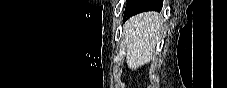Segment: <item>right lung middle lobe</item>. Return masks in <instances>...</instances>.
Listing matches in <instances>:
<instances>
[{
    "mask_svg": "<svg viewBox=\"0 0 227 88\" xmlns=\"http://www.w3.org/2000/svg\"><path fill=\"white\" fill-rule=\"evenodd\" d=\"M133 0H127L126 7L132 2Z\"/></svg>",
    "mask_w": 227,
    "mask_h": 88,
    "instance_id": "right-lung-middle-lobe-1",
    "label": "right lung middle lobe"
}]
</instances>
